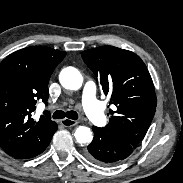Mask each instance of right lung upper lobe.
Here are the masks:
<instances>
[{
    "label": "right lung upper lobe",
    "mask_w": 183,
    "mask_h": 183,
    "mask_svg": "<svg viewBox=\"0 0 183 183\" xmlns=\"http://www.w3.org/2000/svg\"><path fill=\"white\" fill-rule=\"evenodd\" d=\"M66 53L32 46L18 50L0 63V146L10 156L29 159L41 153L57 124L45 112L31 113L37 100L47 104L48 82Z\"/></svg>",
    "instance_id": "obj_1"
}]
</instances>
